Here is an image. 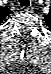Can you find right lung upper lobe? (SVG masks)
Returning a JSON list of instances; mask_svg holds the SVG:
<instances>
[{
  "instance_id": "cb5924a9",
  "label": "right lung upper lobe",
  "mask_w": 51,
  "mask_h": 74,
  "mask_svg": "<svg viewBox=\"0 0 51 74\" xmlns=\"http://www.w3.org/2000/svg\"><path fill=\"white\" fill-rule=\"evenodd\" d=\"M3 10H4V11H3V13H4L3 15H4V16H8L9 14L12 13V11L9 10L8 8H3ZM3 18H4V17H3ZM3 18H2V19H3Z\"/></svg>"
}]
</instances>
